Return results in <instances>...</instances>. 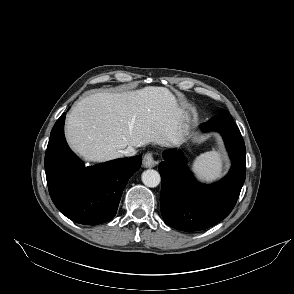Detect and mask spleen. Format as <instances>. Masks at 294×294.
Wrapping results in <instances>:
<instances>
[{
  "label": "spleen",
  "instance_id": "obj_1",
  "mask_svg": "<svg viewBox=\"0 0 294 294\" xmlns=\"http://www.w3.org/2000/svg\"><path fill=\"white\" fill-rule=\"evenodd\" d=\"M192 167L200 179L205 181L216 180L222 173L221 155L216 151L201 154L194 160Z\"/></svg>",
  "mask_w": 294,
  "mask_h": 294
}]
</instances>
